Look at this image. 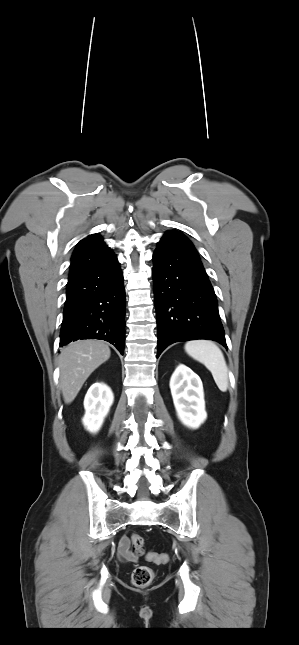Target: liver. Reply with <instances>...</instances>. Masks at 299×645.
<instances>
[{
    "instance_id": "1",
    "label": "liver",
    "mask_w": 299,
    "mask_h": 645,
    "mask_svg": "<svg viewBox=\"0 0 299 645\" xmlns=\"http://www.w3.org/2000/svg\"><path fill=\"white\" fill-rule=\"evenodd\" d=\"M110 354L108 345L99 340H78L61 351L60 388L66 404L75 399L87 378Z\"/></svg>"
}]
</instances>
